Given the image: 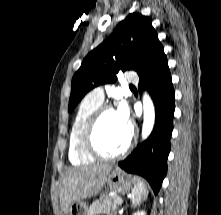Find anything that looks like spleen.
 Here are the masks:
<instances>
[{
  "label": "spleen",
  "instance_id": "obj_1",
  "mask_svg": "<svg viewBox=\"0 0 221 215\" xmlns=\"http://www.w3.org/2000/svg\"><path fill=\"white\" fill-rule=\"evenodd\" d=\"M133 178L135 182H134V189L132 190V203L133 205H138L142 200L147 198L148 190L143 180H141L138 177H133Z\"/></svg>",
  "mask_w": 221,
  "mask_h": 215
}]
</instances>
